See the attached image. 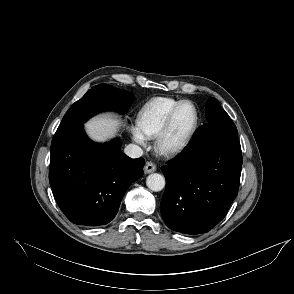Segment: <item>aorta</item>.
<instances>
[{
  "label": "aorta",
  "instance_id": "obj_1",
  "mask_svg": "<svg viewBox=\"0 0 294 294\" xmlns=\"http://www.w3.org/2000/svg\"><path fill=\"white\" fill-rule=\"evenodd\" d=\"M146 185L152 191H161L165 187V178L161 174L152 173L146 178Z\"/></svg>",
  "mask_w": 294,
  "mask_h": 294
}]
</instances>
